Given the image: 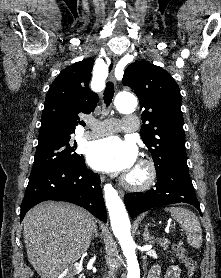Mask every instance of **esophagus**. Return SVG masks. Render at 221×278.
<instances>
[{"label":"esophagus","mask_w":221,"mask_h":278,"mask_svg":"<svg viewBox=\"0 0 221 278\" xmlns=\"http://www.w3.org/2000/svg\"><path fill=\"white\" fill-rule=\"evenodd\" d=\"M115 66H116V60L113 61L112 65H111V71H110V74H109L110 81H112L114 83L116 82L115 75H114ZM101 179L103 180L104 177L101 176ZM118 192H119L120 196L124 195V191L123 190L119 189Z\"/></svg>","instance_id":"1"}]
</instances>
